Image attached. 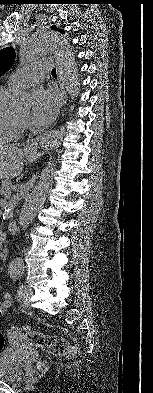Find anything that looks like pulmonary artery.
<instances>
[{"instance_id": "e3ab8cb5", "label": "pulmonary artery", "mask_w": 153, "mask_h": 393, "mask_svg": "<svg viewBox=\"0 0 153 393\" xmlns=\"http://www.w3.org/2000/svg\"><path fill=\"white\" fill-rule=\"evenodd\" d=\"M50 63L47 61H37L25 67L20 73L14 74L8 81L9 89L24 88L38 82Z\"/></svg>"}]
</instances>
